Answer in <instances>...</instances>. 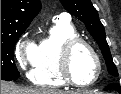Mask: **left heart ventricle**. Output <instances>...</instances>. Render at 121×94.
I'll return each mask as SVG.
<instances>
[{"label":"left heart ventricle","mask_w":121,"mask_h":94,"mask_svg":"<svg viewBox=\"0 0 121 94\" xmlns=\"http://www.w3.org/2000/svg\"><path fill=\"white\" fill-rule=\"evenodd\" d=\"M70 68L74 79L80 83L92 81L97 73L96 61L92 53L84 45H77L74 48Z\"/></svg>","instance_id":"left-heart-ventricle-1"}]
</instances>
